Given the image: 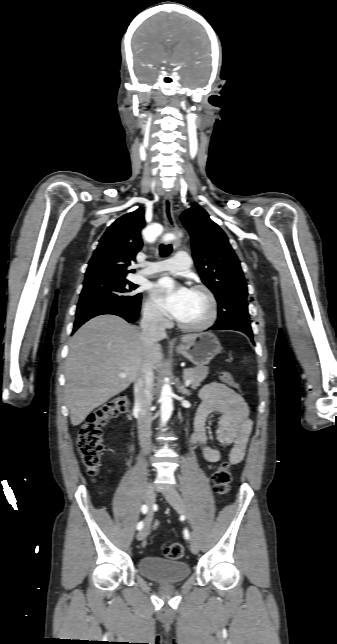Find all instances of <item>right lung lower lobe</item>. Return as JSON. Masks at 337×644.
Returning a JSON list of instances; mask_svg holds the SVG:
<instances>
[{
  "label": "right lung lower lobe",
  "instance_id": "1",
  "mask_svg": "<svg viewBox=\"0 0 337 644\" xmlns=\"http://www.w3.org/2000/svg\"><path fill=\"white\" fill-rule=\"evenodd\" d=\"M140 303H141V300L139 301L138 304L134 306L104 308L93 312L78 315L76 316L73 332H75L82 324H84L89 319L103 314L118 315L130 323L135 322L139 317Z\"/></svg>",
  "mask_w": 337,
  "mask_h": 644
}]
</instances>
